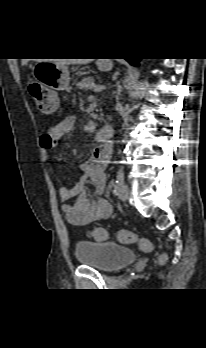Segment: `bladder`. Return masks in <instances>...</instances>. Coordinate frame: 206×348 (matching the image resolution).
<instances>
[{
	"label": "bladder",
	"instance_id": "bladder-1",
	"mask_svg": "<svg viewBox=\"0 0 206 348\" xmlns=\"http://www.w3.org/2000/svg\"><path fill=\"white\" fill-rule=\"evenodd\" d=\"M75 255L80 265L107 273L117 271L138 258L134 249L113 242H78Z\"/></svg>",
	"mask_w": 206,
	"mask_h": 348
}]
</instances>
